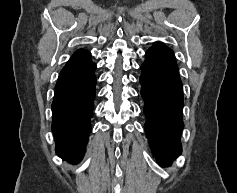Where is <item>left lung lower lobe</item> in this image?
<instances>
[{
    "instance_id": "obj_1",
    "label": "left lung lower lobe",
    "mask_w": 237,
    "mask_h": 193,
    "mask_svg": "<svg viewBox=\"0 0 237 193\" xmlns=\"http://www.w3.org/2000/svg\"><path fill=\"white\" fill-rule=\"evenodd\" d=\"M141 96L144 99L145 133L160 166H170L182 151L183 87L173 51L155 42L141 65Z\"/></svg>"
}]
</instances>
